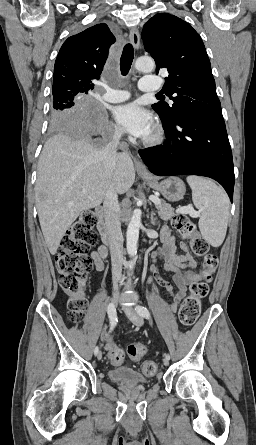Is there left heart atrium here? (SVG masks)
<instances>
[{"instance_id":"left-heart-atrium-1","label":"left heart atrium","mask_w":256,"mask_h":445,"mask_svg":"<svg viewBox=\"0 0 256 445\" xmlns=\"http://www.w3.org/2000/svg\"><path fill=\"white\" fill-rule=\"evenodd\" d=\"M113 115L117 123L129 134L147 138L153 130V119L149 112L136 103L117 106Z\"/></svg>"}]
</instances>
